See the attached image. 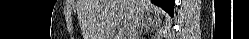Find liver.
<instances>
[{
    "label": "liver",
    "instance_id": "liver-1",
    "mask_svg": "<svg viewBox=\"0 0 249 39\" xmlns=\"http://www.w3.org/2000/svg\"><path fill=\"white\" fill-rule=\"evenodd\" d=\"M154 8L149 0H82L79 21L84 39H109L113 29L123 23L127 30L137 12L149 13Z\"/></svg>",
    "mask_w": 249,
    "mask_h": 39
}]
</instances>
